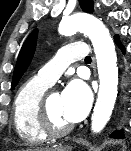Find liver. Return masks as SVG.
<instances>
[{
    "instance_id": "obj_1",
    "label": "liver",
    "mask_w": 131,
    "mask_h": 151,
    "mask_svg": "<svg viewBox=\"0 0 131 151\" xmlns=\"http://www.w3.org/2000/svg\"><path fill=\"white\" fill-rule=\"evenodd\" d=\"M40 150H43V151H57L58 148H51V149H40Z\"/></svg>"
}]
</instances>
